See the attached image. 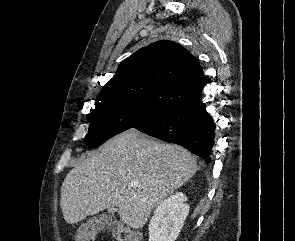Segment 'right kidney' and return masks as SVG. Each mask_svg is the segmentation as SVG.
Masks as SVG:
<instances>
[{
  "label": "right kidney",
  "mask_w": 295,
  "mask_h": 241,
  "mask_svg": "<svg viewBox=\"0 0 295 241\" xmlns=\"http://www.w3.org/2000/svg\"><path fill=\"white\" fill-rule=\"evenodd\" d=\"M187 197L182 192L158 204L149 224V241H175L189 214Z\"/></svg>",
  "instance_id": "obj_1"
}]
</instances>
